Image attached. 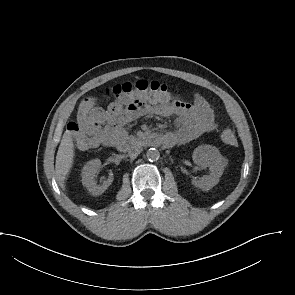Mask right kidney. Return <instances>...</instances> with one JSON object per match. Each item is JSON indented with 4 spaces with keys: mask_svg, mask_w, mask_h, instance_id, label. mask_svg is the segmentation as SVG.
Segmentation results:
<instances>
[{
    "mask_svg": "<svg viewBox=\"0 0 295 295\" xmlns=\"http://www.w3.org/2000/svg\"><path fill=\"white\" fill-rule=\"evenodd\" d=\"M101 168V161L94 159L86 163L82 171V184L94 196L101 195L113 182V174L109 173L108 179L104 180L102 185H97L95 176Z\"/></svg>",
    "mask_w": 295,
    "mask_h": 295,
    "instance_id": "obj_1",
    "label": "right kidney"
}]
</instances>
